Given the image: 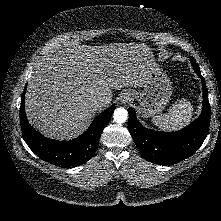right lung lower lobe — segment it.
I'll return each instance as SVG.
<instances>
[{"label":"right lung lower lobe","mask_w":221,"mask_h":221,"mask_svg":"<svg viewBox=\"0 0 221 221\" xmlns=\"http://www.w3.org/2000/svg\"><path fill=\"white\" fill-rule=\"evenodd\" d=\"M25 90L21 97L20 123L23 138L32 152L40 159L64 168L76 167L90 160L115 106L112 105L98 115L88 130L78 138L56 141L42 136L29 124L25 114Z\"/></svg>","instance_id":"1"}]
</instances>
